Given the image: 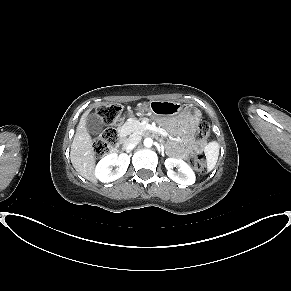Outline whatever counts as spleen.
<instances>
[{
    "label": "spleen",
    "instance_id": "spleen-1",
    "mask_svg": "<svg viewBox=\"0 0 291 291\" xmlns=\"http://www.w3.org/2000/svg\"><path fill=\"white\" fill-rule=\"evenodd\" d=\"M219 144L216 141L210 142L205 147V156L207 161V170L211 171L218 160Z\"/></svg>",
    "mask_w": 291,
    "mask_h": 291
}]
</instances>
